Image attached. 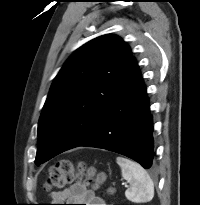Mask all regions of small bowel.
Returning <instances> with one entry per match:
<instances>
[{
  "instance_id": "small-bowel-1",
  "label": "small bowel",
  "mask_w": 200,
  "mask_h": 205,
  "mask_svg": "<svg viewBox=\"0 0 200 205\" xmlns=\"http://www.w3.org/2000/svg\"><path fill=\"white\" fill-rule=\"evenodd\" d=\"M50 198L52 204L48 205H105L101 198L80 182L62 191L53 192Z\"/></svg>"
}]
</instances>
